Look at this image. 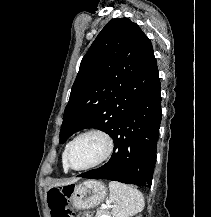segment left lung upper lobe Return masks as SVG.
Masks as SVG:
<instances>
[{"label": "left lung upper lobe", "mask_w": 211, "mask_h": 217, "mask_svg": "<svg viewBox=\"0 0 211 217\" xmlns=\"http://www.w3.org/2000/svg\"><path fill=\"white\" fill-rule=\"evenodd\" d=\"M158 79L150 39L129 19H112L81 61L64 112L60 143L85 128L111 136Z\"/></svg>", "instance_id": "left-lung-upper-lobe-1"}]
</instances>
